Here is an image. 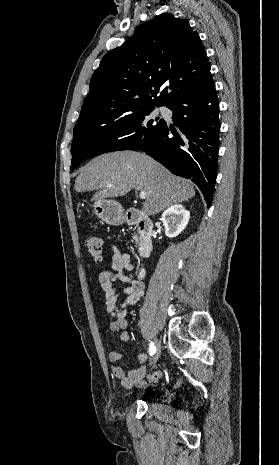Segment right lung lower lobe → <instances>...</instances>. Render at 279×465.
<instances>
[{
  "label": "right lung lower lobe",
  "mask_w": 279,
  "mask_h": 465,
  "mask_svg": "<svg viewBox=\"0 0 279 465\" xmlns=\"http://www.w3.org/2000/svg\"><path fill=\"white\" fill-rule=\"evenodd\" d=\"M173 112L177 133L167 123L150 143L129 145L123 150H141L173 174L192 180L209 207L217 177L219 106L212 77L166 105ZM173 135V136H172Z\"/></svg>",
  "instance_id": "98d812e1"
}]
</instances>
